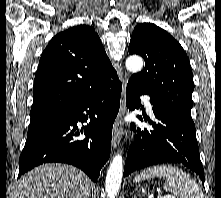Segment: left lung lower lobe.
<instances>
[{
    "instance_id": "obj_1",
    "label": "left lung lower lobe",
    "mask_w": 221,
    "mask_h": 198,
    "mask_svg": "<svg viewBox=\"0 0 221 198\" xmlns=\"http://www.w3.org/2000/svg\"><path fill=\"white\" fill-rule=\"evenodd\" d=\"M126 92V105L132 110L141 106L139 96L147 94L130 82ZM150 102L157 121H149L151 129L137 128L127 153L124 177L151 165L178 163L195 171L204 185V170L200 161L195 125L178 119L151 99ZM138 118L143 120L140 116Z\"/></svg>"
}]
</instances>
